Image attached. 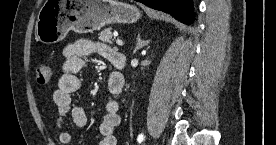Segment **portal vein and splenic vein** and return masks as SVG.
I'll use <instances>...</instances> for the list:
<instances>
[{"mask_svg": "<svg viewBox=\"0 0 276 145\" xmlns=\"http://www.w3.org/2000/svg\"><path fill=\"white\" fill-rule=\"evenodd\" d=\"M116 44H117L118 46H123V41L120 40V39H117V40H116Z\"/></svg>", "mask_w": 276, "mask_h": 145, "instance_id": "18ae733b", "label": "portal vein and splenic vein"}]
</instances>
